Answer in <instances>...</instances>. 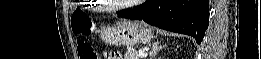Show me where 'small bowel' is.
<instances>
[{"mask_svg": "<svg viewBox=\"0 0 261 59\" xmlns=\"http://www.w3.org/2000/svg\"><path fill=\"white\" fill-rule=\"evenodd\" d=\"M113 55H114V57L115 58H113V59H120L121 57H120V55L119 54H117V53H112Z\"/></svg>", "mask_w": 261, "mask_h": 59, "instance_id": "obj_1", "label": "small bowel"}]
</instances>
